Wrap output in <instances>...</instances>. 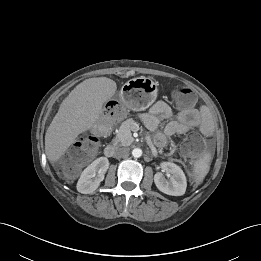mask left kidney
<instances>
[{
    "label": "left kidney",
    "instance_id": "left-kidney-1",
    "mask_svg": "<svg viewBox=\"0 0 261 261\" xmlns=\"http://www.w3.org/2000/svg\"><path fill=\"white\" fill-rule=\"evenodd\" d=\"M160 166L163 172L169 173L170 178L166 179L161 172L156 173L154 175L156 187L167 195L181 196L185 194L187 181L183 170L171 162H162Z\"/></svg>",
    "mask_w": 261,
    "mask_h": 261
}]
</instances>
